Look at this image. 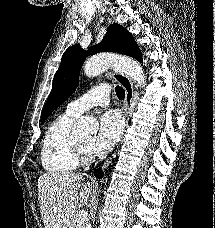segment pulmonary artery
<instances>
[{"label":"pulmonary artery","mask_w":215,"mask_h":228,"mask_svg":"<svg viewBox=\"0 0 215 228\" xmlns=\"http://www.w3.org/2000/svg\"><path fill=\"white\" fill-rule=\"evenodd\" d=\"M110 84H97V87L86 92L78 99L67 105V111L80 115L94 106H107L109 104Z\"/></svg>","instance_id":"1"}]
</instances>
